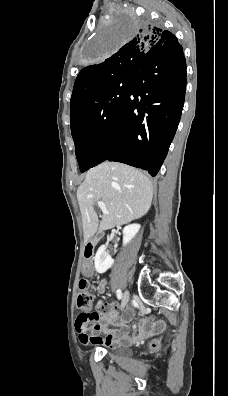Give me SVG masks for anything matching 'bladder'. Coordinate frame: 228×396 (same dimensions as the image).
<instances>
[{
    "label": "bladder",
    "mask_w": 228,
    "mask_h": 396,
    "mask_svg": "<svg viewBox=\"0 0 228 396\" xmlns=\"http://www.w3.org/2000/svg\"><path fill=\"white\" fill-rule=\"evenodd\" d=\"M111 352L113 355L120 357V358H129L133 354L132 350L130 348L124 347V346L117 347V348L113 349Z\"/></svg>",
    "instance_id": "1"
}]
</instances>
